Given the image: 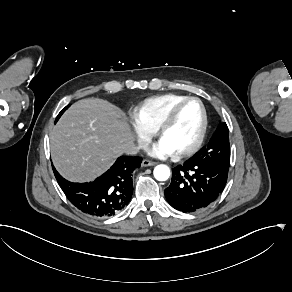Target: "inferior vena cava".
Here are the masks:
<instances>
[{
  "instance_id": "602c4592",
  "label": "inferior vena cava",
  "mask_w": 292,
  "mask_h": 292,
  "mask_svg": "<svg viewBox=\"0 0 292 292\" xmlns=\"http://www.w3.org/2000/svg\"><path fill=\"white\" fill-rule=\"evenodd\" d=\"M148 145H149L148 142H145V143L140 144L138 147L135 146L131 151H129L128 154H136L138 150L141 148L147 149Z\"/></svg>"
}]
</instances>
